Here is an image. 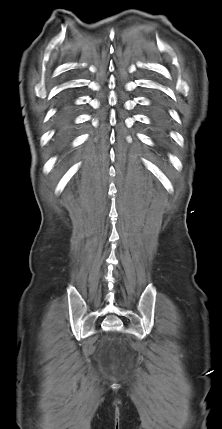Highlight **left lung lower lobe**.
<instances>
[{
	"label": "left lung lower lobe",
	"instance_id": "0a47b994",
	"mask_svg": "<svg viewBox=\"0 0 222 429\" xmlns=\"http://www.w3.org/2000/svg\"><path fill=\"white\" fill-rule=\"evenodd\" d=\"M152 127L159 139H165L169 131L167 102L161 93H155L151 99Z\"/></svg>",
	"mask_w": 222,
	"mask_h": 429
}]
</instances>
